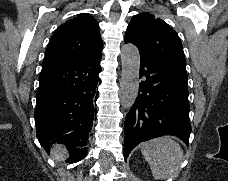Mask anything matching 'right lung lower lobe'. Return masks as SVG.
I'll return each mask as SVG.
<instances>
[{"label": "right lung lower lobe", "instance_id": "right-lung-lower-lobe-1", "mask_svg": "<svg viewBox=\"0 0 228 181\" xmlns=\"http://www.w3.org/2000/svg\"><path fill=\"white\" fill-rule=\"evenodd\" d=\"M101 53L42 68L34 113L37 138L65 144L72 160L86 156L93 124Z\"/></svg>", "mask_w": 228, "mask_h": 181}]
</instances>
